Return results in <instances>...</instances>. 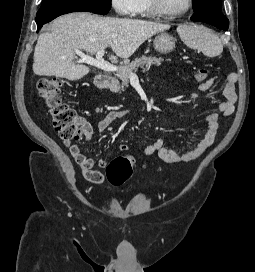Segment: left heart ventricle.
I'll return each instance as SVG.
<instances>
[{
	"mask_svg": "<svg viewBox=\"0 0 255 272\" xmlns=\"http://www.w3.org/2000/svg\"><path fill=\"white\" fill-rule=\"evenodd\" d=\"M163 8L168 12H179L187 7L188 0H162Z\"/></svg>",
	"mask_w": 255,
	"mask_h": 272,
	"instance_id": "1",
	"label": "left heart ventricle"
}]
</instances>
